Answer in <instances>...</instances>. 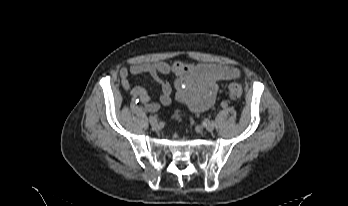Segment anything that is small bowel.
I'll use <instances>...</instances> for the list:
<instances>
[{
  "label": "small bowel",
  "instance_id": "1",
  "mask_svg": "<svg viewBox=\"0 0 348 206\" xmlns=\"http://www.w3.org/2000/svg\"><path fill=\"white\" fill-rule=\"evenodd\" d=\"M150 75L161 88L159 103L151 101L147 91L140 86L133 87L130 75ZM175 76L173 85L164 80L165 76ZM121 86L129 92L133 101L140 102L148 112L154 113L161 105L167 106L175 98L194 112L209 109L216 98L219 82L240 77L238 69L219 64L160 61L137 63L119 72Z\"/></svg>",
  "mask_w": 348,
  "mask_h": 206
}]
</instances>
